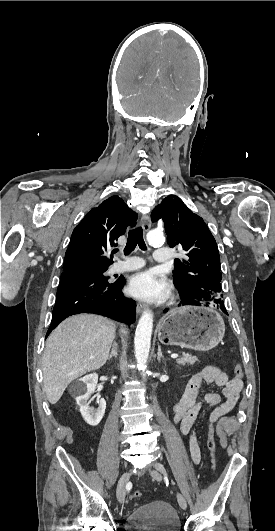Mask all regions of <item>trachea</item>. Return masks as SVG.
<instances>
[{"instance_id":"trachea-1","label":"trachea","mask_w":275,"mask_h":531,"mask_svg":"<svg viewBox=\"0 0 275 531\" xmlns=\"http://www.w3.org/2000/svg\"><path fill=\"white\" fill-rule=\"evenodd\" d=\"M137 244L139 248L142 249V251L147 250L145 241L143 239L142 227H137L136 229H132L131 231H129L127 243L124 249L125 256H128V254H130L135 249ZM117 251V249H114L113 253H116Z\"/></svg>"}]
</instances>
